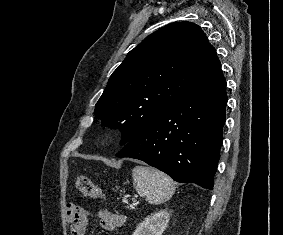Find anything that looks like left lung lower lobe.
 I'll return each mask as SVG.
<instances>
[{
	"instance_id": "left-lung-lower-lobe-1",
	"label": "left lung lower lobe",
	"mask_w": 283,
	"mask_h": 235,
	"mask_svg": "<svg viewBox=\"0 0 283 235\" xmlns=\"http://www.w3.org/2000/svg\"><path fill=\"white\" fill-rule=\"evenodd\" d=\"M227 104L220 69L183 95L116 156L142 160L173 180L214 186Z\"/></svg>"
}]
</instances>
